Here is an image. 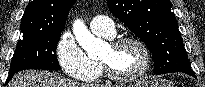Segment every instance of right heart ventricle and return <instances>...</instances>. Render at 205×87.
I'll return each instance as SVG.
<instances>
[{"label": "right heart ventricle", "instance_id": "e07e8e85", "mask_svg": "<svg viewBox=\"0 0 205 87\" xmlns=\"http://www.w3.org/2000/svg\"><path fill=\"white\" fill-rule=\"evenodd\" d=\"M98 35H100V34H98ZM100 36H103L105 38H111V37H107L105 35H100ZM92 62L94 64L95 68H96L94 74H92L91 76H88V77H86V78H84L82 80H85V81H95V80H97L101 76L102 68H101L100 64L98 62H96V61H92Z\"/></svg>", "mask_w": 205, "mask_h": 87}]
</instances>
